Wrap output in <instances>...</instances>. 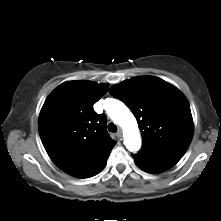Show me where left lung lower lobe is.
<instances>
[{"instance_id":"1","label":"left lung lower lobe","mask_w":221,"mask_h":221,"mask_svg":"<svg viewBox=\"0 0 221 221\" xmlns=\"http://www.w3.org/2000/svg\"><path fill=\"white\" fill-rule=\"evenodd\" d=\"M183 155L148 156L141 153L133 155L136 164L149 173H161L173 167Z\"/></svg>"}]
</instances>
